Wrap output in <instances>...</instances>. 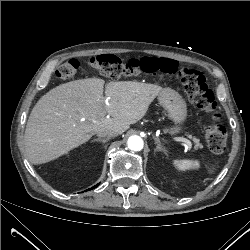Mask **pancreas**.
<instances>
[{"instance_id":"cf45deb5","label":"pancreas","mask_w":250,"mask_h":250,"mask_svg":"<svg viewBox=\"0 0 250 250\" xmlns=\"http://www.w3.org/2000/svg\"><path fill=\"white\" fill-rule=\"evenodd\" d=\"M191 137V136H190ZM193 141L196 144V147H202V144L200 143L199 139L196 137H193Z\"/></svg>"}]
</instances>
